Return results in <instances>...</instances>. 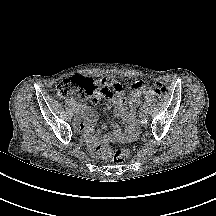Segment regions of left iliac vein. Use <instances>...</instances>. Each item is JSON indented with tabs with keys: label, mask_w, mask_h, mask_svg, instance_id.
Masks as SVG:
<instances>
[{
	"label": "left iliac vein",
	"mask_w": 216,
	"mask_h": 216,
	"mask_svg": "<svg viewBox=\"0 0 216 216\" xmlns=\"http://www.w3.org/2000/svg\"><path fill=\"white\" fill-rule=\"evenodd\" d=\"M144 109H145V108H144ZM146 115H147V110H146V109H145L143 112L140 111V113H139L140 118H145Z\"/></svg>",
	"instance_id": "1"
}]
</instances>
